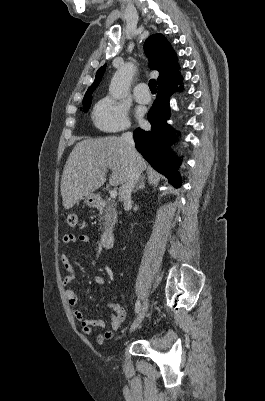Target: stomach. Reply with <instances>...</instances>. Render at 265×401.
<instances>
[{
	"mask_svg": "<svg viewBox=\"0 0 265 401\" xmlns=\"http://www.w3.org/2000/svg\"><path fill=\"white\" fill-rule=\"evenodd\" d=\"M85 203L88 205V207H96L97 198L95 194H91V196H85Z\"/></svg>",
	"mask_w": 265,
	"mask_h": 401,
	"instance_id": "1",
	"label": "stomach"
}]
</instances>
